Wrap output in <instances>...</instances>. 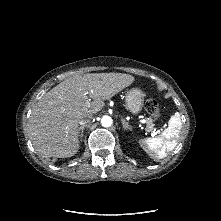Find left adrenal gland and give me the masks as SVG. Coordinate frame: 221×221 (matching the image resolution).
Wrapping results in <instances>:
<instances>
[{
	"instance_id": "a2214340",
	"label": "left adrenal gland",
	"mask_w": 221,
	"mask_h": 221,
	"mask_svg": "<svg viewBox=\"0 0 221 221\" xmlns=\"http://www.w3.org/2000/svg\"><path fill=\"white\" fill-rule=\"evenodd\" d=\"M121 121H122V124H123V128L125 130H128V129L132 130L131 126L128 124V122L124 118H122Z\"/></svg>"
}]
</instances>
